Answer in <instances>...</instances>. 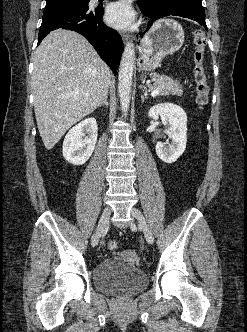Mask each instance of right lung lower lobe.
Segmentation results:
<instances>
[{"mask_svg":"<svg viewBox=\"0 0 247 332\" xmlns=\"http://www.w3.org/2000/svg\"><path fill=\"white\" fill-rule=\"evenodd\" d=\"M103 9H90L88 4L58 3L46 5L38 35V45L49 32L68 29L83 35L116 74L123 42L117 31L105 26Z\"/></svg>","mask_w":247,"mask_h":332,"instance_id":"98d812e1","label":"right lung lower lobe"}]
</instances>
